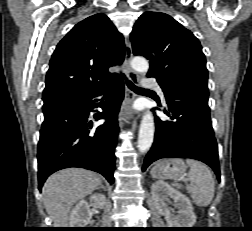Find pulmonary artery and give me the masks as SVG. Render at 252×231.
Returning a JSON list of instances; mask_svg holds the SVG:
<instances>
[{
	"label": "pulmonary artery",
	"mask_w": 252,
	"mask_h": 231,
	"mask_svg": "<svg viewBox=\"0 0 252 231\" xmlns=\"http://www.w3.org/2000/svg\"><path fill=\"white\" fill-rule=\"evenodd\" d=\"M142 84L144 87L154 89L159 94V96L162 99H164V93H163V90H162L159 82H157L153 79H150V78H145V79H143Z\"/></svg>",
	"instance_id": "1"
}]
</instances>
